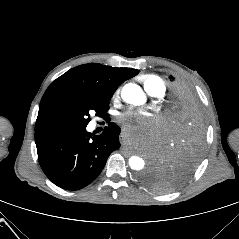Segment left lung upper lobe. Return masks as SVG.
Here are the masks:
<instances>
[{"instance_id":"left-lung-upper-lobe-1","label":"left lung upper lobe","mask_w":239,"mask_h":239,"mask_svg":"<svg viewBox=\"0 0 239 239\" xmlns=\"http://www.w3.org/2000/svg\"><path fill=\"white\" fill-rule=\"evenodd\" d=\"M169 78L172 89L167 120L171 139L158 155V165H151L141 178L144 185L161 193L172 191L191 176L201 158L204 145V125L201 131H195L189 125L191 121H185L187 110L195 107L202 110L196 91L181 79L173 76ZM193 140L199 144L198 147L191 145Z\"/></svg>"}]
</instances>
